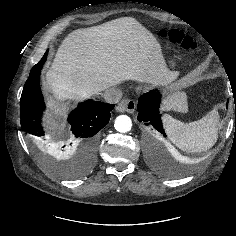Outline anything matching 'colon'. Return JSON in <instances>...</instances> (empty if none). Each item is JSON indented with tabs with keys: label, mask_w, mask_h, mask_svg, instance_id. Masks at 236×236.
Returning <instances> with one entry per match:
<instances>
[{
	"label": "colon",
	"mask_w": 236,
	"mask_h": 236,
	"mask_svg": "<svg viewBox=\"0 0 236 236\" xmlns=\"http://www.w3.org/2000/svg\"><path fill=\"white\" fill-rule=\"evenodd\" d=\"M163 36L167 37L173 44L181 46L183 49L194 52H199L201 50L199 44L192 36L185 34L184 32H181L179 30L166 31L163 33Z\"/></svg>",
	"instance_id": "5ec220e1"
}]
</instances>
